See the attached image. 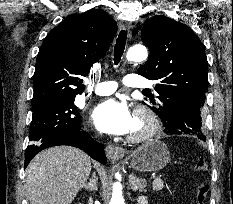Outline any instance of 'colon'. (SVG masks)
I'll return each mask as SVG.
<instances>
[{"label": "colon", "instance_id": "obj_1", "mask_svg": "<svg viewBox=\"0 0 233 204\" xmlns=\"http://www.w3.org/2000/svg\"><path fill=\"white\" fill-rule=\"evenodd\" d=\"M209 166L208 162L204 158H199L194 164V171L201 175H206L208 173ZM210 190V185L207 181H201L196 189L195 194V204H205L207 195Z\"/></svg>", "mask_w": 233, "mask_h": 204}]
</instances>
